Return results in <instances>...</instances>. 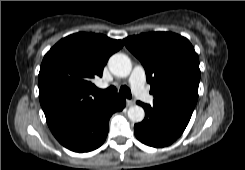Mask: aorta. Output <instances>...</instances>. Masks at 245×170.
I'll use <instances>...</instances> for the list:
<instances>
[{
  "label": "aorta",
  "instance_id": "762f6f07",
  "mask_svg": "<svg viewBox=\"0 0 245 170\" xmlns=\"http://www.w3.org/2000/svg\"><path fill=\"white\" fill-rule=\"evenodd\" d=\"M108 67L113 75L122 78L127 77L132 70L131 60L122 53L112 55L108 61ZM127 114L129 119L135 123L143 121L145 117L144 109L138 105L129 107Z\"/></svg>",
  "mask_w": 245,
  "mask_h": 170
}]
</instances>
